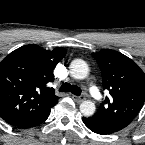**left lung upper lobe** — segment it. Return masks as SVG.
<instances>
[{"mask_svg": "<svg viewBox=\"0 0 145 145\" xmlns=\"http://www.w3.org/2000/svg\"><path fill=\"white\" fill-rule=\"evenodd\" d=\"M102 74L103 88L110 92L92 118L100 125L120 131L127 127L145 101V74L130 58L105 49L92 53Z\"/></svg>", "mask_w": 145, "mask_h": 145, "instance_id": "1", "label": "left lung upper lobe"}]
</instances>
